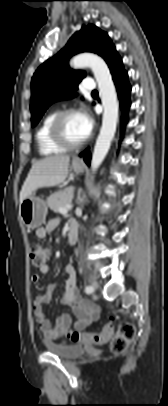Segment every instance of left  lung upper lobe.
<instances>
[{
  "mask_svg": "<svg viewBox=\"0 0 168 406\" xmlns=\"http://www.w3.org/2000/svg\"><path fill=\"white\" fill-rule=\"evenodd\" d=\"M93 52L108 64L117 54L107 33L93 25L83 26L55 56L36 70L31 81V122L35 126L53 102L77 95L79 82L86 76L83 71L71 70L68 60L80 52Z\"/></svg>",
  "mask_w": 168,
  "mask_h": 406,
  "instance_id": "obj_1",
  "label": "left lung upper lobe"
}]
</instances>
